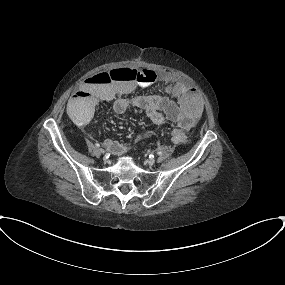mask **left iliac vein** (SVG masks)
<instances>
[{"mask_svg":"<svg viewBox=\"0 0 285 285\" xmlns=\"http://www.w3.org/2000/svg\"><path fill=\"white\" fill-rule=\"evenodd\" d=\"M147 163H148L149 165H154L155 160H154V159H148V160H147Z\"/></svg>","mask_w":285,"mask_h":285,"instance_id":"4c4485c4","label":"left iliac vein"}]
</instances>
